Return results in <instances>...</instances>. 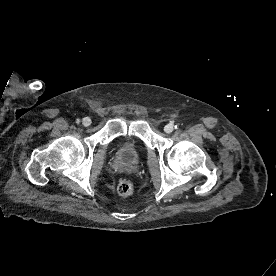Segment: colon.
<instances>
[{
  "instance_id": "1",
  "label": "colon",
  "mask_w": 276,
  "mask_h": 276,
  "mask_svg": "<svg viewBox=\"0 0 276 276\" xmlns=\"http://www.w3.org/2000/svg\"><path fill=\"white\" fill-rule=\"evenodd\" d=\"M134 187L130 180L121 179L117 185V192L120 196L128 197L133 193Z\"/></svg>"
}]
</instances>
